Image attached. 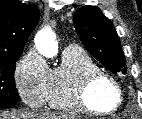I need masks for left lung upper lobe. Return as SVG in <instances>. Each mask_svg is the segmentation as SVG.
<instances>
[{
  "label": "left lung upper lobe",
  "mask_w": 142,
  "mask_h": 119,
  "mask_svg": "<svg viewBox=\"0 0 142 119\" xmlns=\"http://www.w3.org/2000/svg\"><path fill=\"white\" fill-rule=\"evenodd\" d=\"M86 49L112 73L126 74V59L112 22L95 6L79 8L73 18Z\"/></svg>",
  "instance_id": "obj_1"
}]
</instances>
